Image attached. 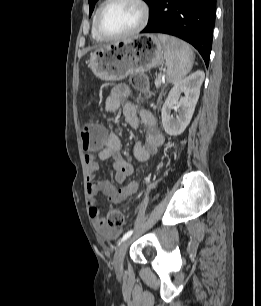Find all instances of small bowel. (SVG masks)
<instances>
[{"label":"small bowel","instance_id":"small-bowel-1","mask_svg":"<svg viewBox=\"0 0 261 306\" xmlns=\"http://www.w3.org/2000/svg\"><path fill=\"white\" fill-rule=\"evenodd\" d=\"M131 96V91L126 85H118L111 90L104 104V109L108 113L117 111L122 107V114L125 121L134 128L140 125L145 127V143H136L133 147V155L139 162L147 161L151 155L155 154L164 142V136L159 131L156 118L147 111H139L135 103H124L125 99ZM121 138L111 131L105 138L103 148L97 154L85 155L88 184V206L89 214L98 234L106 240H115L121 234L119 228L109 226L101 216L97 195L103 193L114 203H122L130 196L134 195L139 188L136 181H131L121 188H117L110 180H100L96 178L99 170L98 160H113L115 170V181L123 183L133 174L134 168L128 163L120 153Z\"/></svg>","mask_w":261,"mask_h":306}]
</instances>
